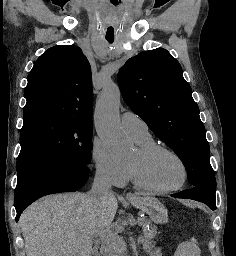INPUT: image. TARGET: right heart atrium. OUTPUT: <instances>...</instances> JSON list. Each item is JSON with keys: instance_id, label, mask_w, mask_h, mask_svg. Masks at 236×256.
I'll return each instance as SVG.
<instances>
[{"instance_id": "d8ad5b80", "label": "right heart atrium", "mask_w": 236, "mask_h": 256, "mask_svg": "<svg viewBox=\"0 0 236 256\" xmlns=\"http://www.w3.org/2000/svg\"><path fill=\"white\" fill-rule=\"evenodd\" d=\"M91 160L98 178L117 188H123L127 185L129 166L114 160L104 143L99 139H95L92 144Z\"/></svg>"}]
</instances>
